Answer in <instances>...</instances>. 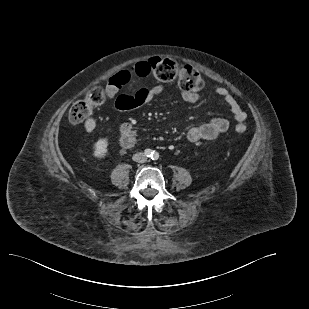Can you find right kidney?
Returning a JSON list of instances; mask_svg holds the SVG:
<instances>
[{
	"instance_id": "ca27d5eb",
	"label": "right kidney",
	"mask_w": 309,
	"mask_h": 309,
	"mask_svg": "<svg viewBox=\"0 0 309 309\" xmlns=\"http://www.w3.org/2000/svg\"><path fill=\"white\" fill-rule=\"evenodd\" d=\"M108 141L106 139H99L93 147V155L96 158H104L107 155Z\"/></svg>"
}]
</instances>
